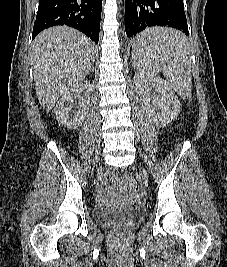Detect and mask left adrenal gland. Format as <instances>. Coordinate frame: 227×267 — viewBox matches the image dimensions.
<instances>
[{"instance_id": "a2214340", "label": "left adrenal gland", "mask_w": 227, "mask_h": 267, "mask_svg": "<svg viewBox=\"0 0 227 267\" xmlns=\"http://www.w3.org/2000/svg\"><path fill=\"white\" fill-rule=\"evenodd\" d=\"M134 67H136L135 63H133Z\"/></svg>"}]
</instances>
